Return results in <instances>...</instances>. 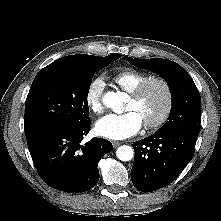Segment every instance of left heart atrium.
Here are the masks:
<instances>
[{
    "label": "left heart atrium",
    "instance_id": "obj_1",
    "mask_svg": "<svg viewBox=\"0 0 221 221\" xmlns=\"http://www.w3.org/2000/svg\"><path fill=\"white\" fill-rule=\"evenodd\" d=\"M142 120L135 111L108 114L96 122V133L110 140H122L135 135L142 127Z\"/></svg>",
    "mask_w": 221,
    "mask_h": 221
}]
</instances>
